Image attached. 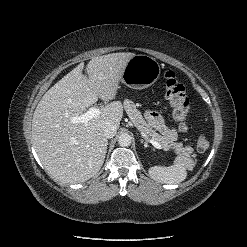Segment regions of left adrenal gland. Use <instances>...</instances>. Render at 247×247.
Listing matches in <instances>:
<instances>
[{"instance_id": "obj_1", "label": "left adrenal gland", "mask_w": 247, "mask_h": 247, "mask_svg": "<svg viewBox=\"0 0 247 247\" xmlns=\"http://www.w3.org/2000/svg\"><path fill=\"white\" fill-rule=\"evenodd\" d=\"M142 142V141H141ZM144 147H147V144H144Z\"/></svg>"}]
</instances>
